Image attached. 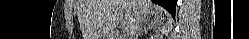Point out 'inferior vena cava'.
Masks as SVG:
<instances>
[{
  "label": "inferior vena cava",
  "mask_w": 249,
  "mask_h": 39,
  "mask_svg": "<svg viewBox=\"0 0 249 39\" xmlns=\"http://www.w3.org/2000/svg\"><path fill=\"white\" fill-rule=\"evenodd\" d=\"M143 20L142 14H137L130 29L126 30L128 39H136L137 33L141 26V21Z\"/></svg>",
  "instance_id": "1"
}]
</instances>
